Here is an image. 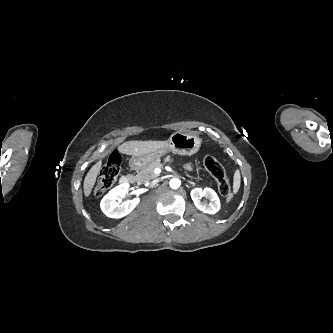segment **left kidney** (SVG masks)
Here are the masks:
<instances>
[{
  "mask_svg": "<svg viewBox=\"0 0 333 333\" xmlns=\"http://www.w3.org/2000/svg\"><path fill=\"white\" fill-rule=\"evenodd\" d=\"M191 198L200 211L208 214H215L220 210V200L216 192L211 188H194L191 193ZM201 197H205L209 202H202Z\"/></svg>",
  "mask_w": 333,
  "mask_h": 333,
  "instance_id": "5707ae66",
  "label": "left kidney"
}]
</instances>
